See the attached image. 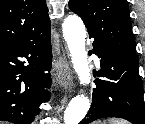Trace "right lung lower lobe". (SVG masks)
<instances>
[{
	"label": "right lung lower lobe",
	"mask_w": 145,
	"mask_h": 124,
	"mask_svg": "<svg viewBox=\"0 0 145 124\" xmlns=\"http://www.w3.org/2000/svg\"><path fill=\"white\" fill-rule=\"evenodd\" d=\"M50 30L18 43L0 45V120L31 124L47 102L51 85Z\"/></svg>",
	"instance_id": "right-lung-lower-lobe-1"
}]
</instances>
